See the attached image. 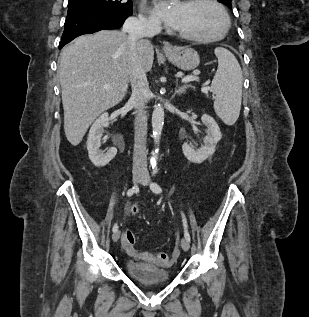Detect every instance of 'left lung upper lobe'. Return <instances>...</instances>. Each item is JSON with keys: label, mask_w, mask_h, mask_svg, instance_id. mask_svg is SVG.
<instances>
[{"label": "left lung upper lobe", "mask_w": 309, "mask_h": 317, "mask_svg": "<svg viewBox=\"0 0 309 317\" xmlns=\"http://www.w3.org/2000/svg\"><path fill=\"white\" fill-rule=\"evenodd\" d=\"M218 1L222 2L228 8H232V5H231L232 0H218Z\"/></svg>", "instance_id": "1"}]
</instances>
